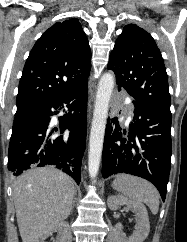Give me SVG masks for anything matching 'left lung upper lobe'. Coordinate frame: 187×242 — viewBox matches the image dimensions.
<instances>
[{"label":"left lung upper lobe","mask_w":187,"mask_h":242,"mask_svg":"<svg viewBox=\"0 0 187 242\" xmlns=\"http://www.w3.org/2000/svg\"><path fill=\"white\" fill-rule=\"evenodd\" d=\"M108 69L118 88L150 108L169 113L168 76L160 50L152 36L135 24L126 25L112 50Z\"/></svg>","instance_id":"5c2ea615"}]
</instances>
